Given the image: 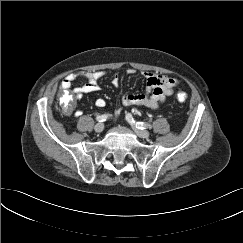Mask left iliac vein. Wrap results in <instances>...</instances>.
Returning a JSON list of instances; mask_svg holds the SVG:
<instances>
[{
    "label": "left iliac vein",
    "instance_id": "left-iliac-vein-1",
    "mask_svg": "<svg viewBox=\"0 0 243 243\" xmlns=\"http://www.w3.org/2000/svg\"><path fill=\"white\" fill-rule=\"evenodd\" d=\"M131 127L140 138L146 139L150 136V133L147 130L139 129L135 126V124H131Z\"/></svg>",
    "mask_w": 243,
    "mask_h": 243
}]
</instances>
